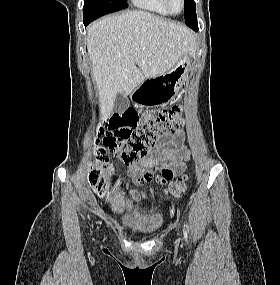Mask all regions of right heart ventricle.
Listing matches in <instances>:
<instances>
[{
  "label": "right heart ventricle",
  "mask_w": 280,
  "mask_h": 285,
  "mask_svg": "<svg viewBox=\"0 0 280 285\" xmlns=\"http://www.w3.org/2000/svg\"><path fill=\"white\" fill-rule=\"evenodd\" d=\"M132 2L142 9L160 15H170L171 13L167 9L163 0H132Z\"/></svg>",
  "instance_id": "e07e8e85"
}]
</instances>
